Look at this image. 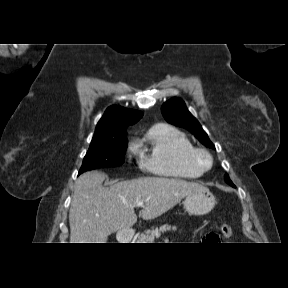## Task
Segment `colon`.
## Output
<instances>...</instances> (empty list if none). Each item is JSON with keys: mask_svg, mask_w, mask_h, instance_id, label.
Masks as SVG:
<instances>
[{"mask_svg": "<svg viewBox=\"0 0 288 288\" xmlns=\"http://www.w3.org/2000/svg\"><path fill=\"white\" fill-rule=\"evenodd\" d=\"M232 228L229 224H222L219 232L216 234L209 235L206 240L207 242H222L226 238L230 237Z\"/></svg>", "mask_w": 288, "mask_h": 288, "instance_id": "obj_1", "label": "colon"}]
</instances>
